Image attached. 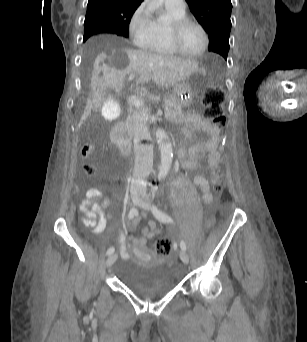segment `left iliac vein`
Here are the masks:
<instances>
[{"label":"left iliac vein","mask_w":307,"mask_h":342,"mask_svg":"<svg viewBox=\"0 0 307 342\" xmlns=\"http://www.w3.org/2000/svg\"><path fill=\"white\" fill-rule=\"evenodd\" d=\"M139 206L143 208L144 210H150L149 202L147 200L141 199ZM180 259L183 263L188 264L189 263V256L184 250H180L179 252Z\"/></svg>","instance_id":"1"}]
</instances>
